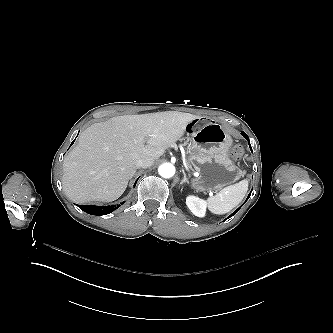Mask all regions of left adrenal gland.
<instances>
[{
  "instance_id": "obj_1",
  "label": "left adrenal gland",
  "mask_w": 333,
  "mask_h": 333,
  "mask_svg": "<svg viewBox=\"0 0 333 333\" xmlns=\"http://www.w3.org/2000/svg\"><path fill=\"white\" fill-rule=\"evenodd\" d=\"M182 174H183V180L180 183L181 186H183L184 184H188V181H187L186 174H185L184 170H182Z\"/></svg>"
}]
</instances>
